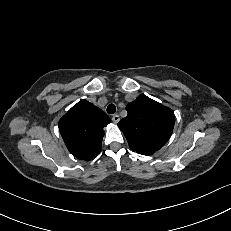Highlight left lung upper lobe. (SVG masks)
Wrapping results in <instances>:
<instances>
[{"label": "left lung upper lobe", "instance_id": "left-lung-upper-lobe-1", "mask_svg": "<svg viewBox=\"0 0 231 231\" xmlns=\"http://www.w3.org/2000/svg\"><path fill=\"white\" fill-rule=\"evenodd\" d=\"M128 115L120 120L130 148L139 154L151 155L170 138L175 117L174 112L146 95H140L127 105Z\"/></svg>", "mask_w": 231, "mask_h": 231}]
</instances>
